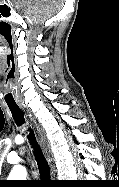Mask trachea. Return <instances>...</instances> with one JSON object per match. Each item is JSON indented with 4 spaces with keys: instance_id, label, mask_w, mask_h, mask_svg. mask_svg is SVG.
Returning a JSON list of instances; mask_svg holds the SVG:
<instances>
[{
    "instance_id": "obj_1",
    "label": "trachea",
    "mask_w": 119,
    "mask_h": 187,
    "mask_svg": "<svg viewBox=\"0 0 119 187\" xmlns=\"http://www.w3.org/2000/svg\"><path fill=\"white\" fill-rule=\"evenodd\" d=\"M8 106H9L11 112H12V115H13V118H14L15 122L18 125L23 124L24 114L21 111V109L19 108V106L18 105H12V104H9ZM29 139H30V141L32 143V146L34 148V155H35L36 160H37L38 165H39V171H40L41 177L44 178V179L50 178L49 165H48V163H47V161H46V159H45V157H44V155L41 151L40 146L36 142L33 131L30 132Z\"/></svg>"
}]
</instances>
